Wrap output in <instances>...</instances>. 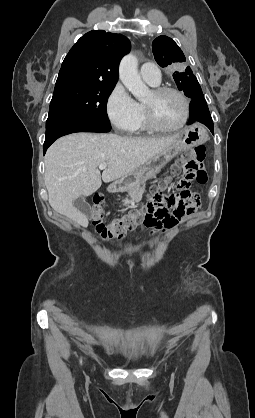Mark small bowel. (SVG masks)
Segmentation results:
<instances>
[{
    "instance_id": "small-bowel-1",
    "label": "small bowel",
    "mask_w": 255,
    "mask_h": 418,
    "mask_svg": "<svg viewBox=\"0 0 255 418\" xmlns=\"http://www.w3.org/2000/svg\"><path fill=\"white\" fill-rule=\"evenodd\" d=\"M177 221L174 220V222L169 226V227H173L174 225H176Z\"/></svg>"
}]
</instances>
